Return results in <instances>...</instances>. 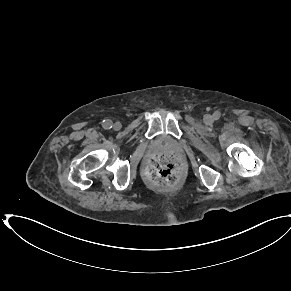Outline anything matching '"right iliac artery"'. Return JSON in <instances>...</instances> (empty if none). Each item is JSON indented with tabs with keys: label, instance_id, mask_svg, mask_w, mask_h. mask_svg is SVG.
Masks as SVG:
<instances>
[{
	"label": "right iliac artery",
	"instance_id": "82829eb1",
	"mask_svg": "<svg viewBox=\"0 0 291 291\" xmlns=\"http://www.w3.org/2000/svg\"><path fill=\"white\" fill-rule=\"evenodd\" d=\"M102 126L104 129H111L113 126V123L110 120H104Z\"/></svg>",
	"mask_w": 291,
	"mask_h": 291
}]
</instances>
